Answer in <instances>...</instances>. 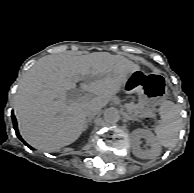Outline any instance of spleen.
I'll return each instance as SVG.
<instances>
[{
  "instance_id": "obj_1",
  "label": "spleen",
  "mask_w": 194,
  "mask_h": 193,
  "mask_svg": "<svg viewBox=\"0 0 194 193\" xmlns=\"http://www.w3.org/2000/svg\"><path fill=\"white\" fill-rule=\"evenodd\" d=\"M159 111L161 121L155 127L157 139L164 147H172L176 144L182 127L180 108L171 101H164Z\"/></svg>"
}]
</instances>
